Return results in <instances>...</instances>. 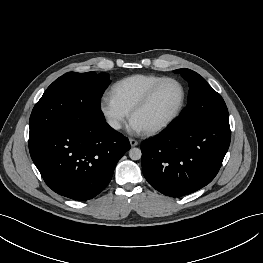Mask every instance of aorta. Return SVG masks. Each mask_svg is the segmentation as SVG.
Instances as JSON below:
<instances>
[{"label": "aorta", "mask_w": 263, "mask_h": 263, "mask_svg": "<svg viewBox=\"0 0 263 263\" xmlns=\"http://www.w3.org/2000/svg\"><path fill=\"white\" fill-rule=\"evenodd\" d=\"M142 156V152L139 148H131L129 150V157L132 160H139Z\"/></svg>", "instance_id": "762f6f07"}]
</instances>
